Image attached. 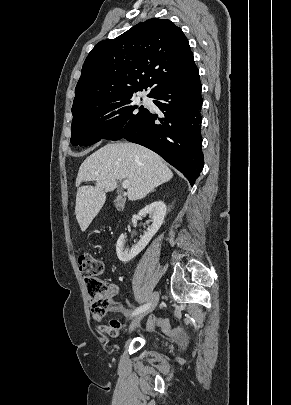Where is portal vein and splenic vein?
I'll return each mask as SVG.
<instances>
[{
	"mask_svg": "<svg viewBox=\"0 0 291 405\" xmlns=\"http://www.w3.org/2000/svg\"><path fill=\"white\" fill-rule=\"evenodd\" d=\"M129 186H130V182H129L128 180H125V181L122 182V187H123V188L126 189V188H128Z\"/></svg>",
	"mask_w": 291,
	"mask_h": 405,
	"instance_id": "18ae733b",
	"label": "portal vein and splenic vein"
}]
</instances>
